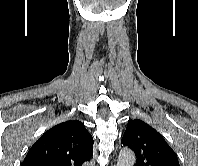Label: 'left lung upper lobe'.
<instances>
[{"label": "left lung upper lobe", "mask_w": 198, "mask_h": 166, "mask_svg": "<svg viewBox=\"0 0 198 166\" xmlns=\"http://www.w3.org/2000/svg\"><path fill=\"white\" fill-rule=\"evenodd\" d=\"M121 142L134 151L136 166H180L163 136L139 119L128 122Z\"/></svg>", "instance_id": "1"}]
</instances>
